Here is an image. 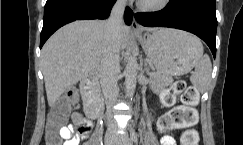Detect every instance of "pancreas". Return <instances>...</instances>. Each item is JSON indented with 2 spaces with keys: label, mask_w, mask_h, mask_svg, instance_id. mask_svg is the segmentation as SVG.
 I'll list each match as a JSON object with an SVG mask.
<instances>
[{
  "label": "pancreas",
  "mask_w": 243,
  "mask_h": 145,
  "mask_svg": "<svg viewBox=\"0 0 243 145\" xmlns=\"http://www.w3.org/2000/svg\"><path fill=\"white\" fill-rule=\"evenodd\" d=\"M150 80L152 82V86L157 89L167 86L172 82V78L166 77L161 73H157L155 76H152Z\"/></svg>",
  "instance_id": "cf45deb5"
}]
</instances>
